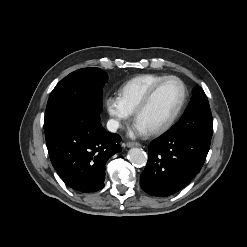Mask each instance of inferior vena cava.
<instances>
[{
	"label": "inferior vena cava",
	"mask_w": 247,
	"mask_h": 247,
	"mask_svg": "<svg viewBox=\"0 0 247 247\" xmlns=\"http://www.w3.org/2000/svg\"><path fill=\"white\" fill-rule=\"evenodd\" d=\"M118 128H119V122L118 121H116L114 119L108 120V122H107V129L110 132H116Z\"/></svg>",
	"instance_id": "inferior-vena-cava-1"
}]
</instances>
